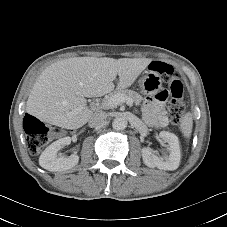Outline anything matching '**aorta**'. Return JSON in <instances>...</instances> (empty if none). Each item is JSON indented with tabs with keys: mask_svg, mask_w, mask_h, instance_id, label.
Wrapping results in <instances>:
<instances>
[{
	"mask_svg": "<svg viewBox=\"0 0 227 227\" xmlns=\"http://www.w3.org/2000/svg\"><path fill=\"white\" fill-rule=\"evenodd\" d=\"M127 124L128 122L125 118L117 117L113 120L112 127L113 129L120 131V130H124L127 127Z\"/></svg>",
	"mask_w": 227,
	"mask_h": 227,
	"instance_id": "obj_1",
	"label": "aorta"
}]
</instances>
